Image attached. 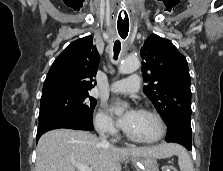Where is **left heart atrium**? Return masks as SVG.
Wrapping results in <instances>:
<instances>
[{
  "label": "left heart atrium",
  "mask_w": 223,
  "mask_h": 171,
  "mask_svg": "<svg viewBox=\"0 0 223 171\" xmlns=\"http://www.w3.org/2000/svg\"><path fill=\"white\" fill-rule=\"evenodd\" d=\"M113 110H116V108H113ZM136 113L137 112L135 110H130L124 116L119 118L118 123L125 131L129 128Z\"/></svg>",
  "instance_id": "1"
}]
</instances>
